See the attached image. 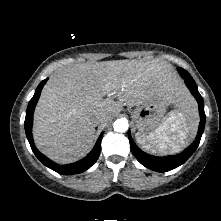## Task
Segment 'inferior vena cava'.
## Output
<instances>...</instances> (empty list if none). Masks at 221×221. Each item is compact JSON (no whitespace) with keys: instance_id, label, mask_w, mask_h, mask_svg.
Segmentation results:
<instances>
[{"instance_id":"inferior-vena-cava-1","label":"inferior vena cava","mask_w":221,"mask_h":221,"mask_svg":"<svg viewBox=\"0 0 221 221\" xmlns=\"http://www.w3.org/2000/svg\"><path fill=\"white\" fill-rule=\"evenodd\" d=\"M106 116H104V115H97L96 116V119H95V122H96V124H103L104 122H106Z\"/></svg>"}]
</instances>
